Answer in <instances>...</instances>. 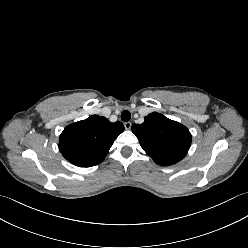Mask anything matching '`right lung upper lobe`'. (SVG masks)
<instances>
[{"mask_svg":"<svg viewBox=\"0 0 248 248\" xmlns=\"http://www.w3.org/2000/svg\"><path fill=\"white\" fill-rule=\"evenodd\" d=\"M124 131L121 122L111 123L97 115L68 125L60 135L59 149L70 163L91 167L101 163L117 136Z\"/></svg>","mask_w":248,"mask_h":248,"instance_id":"obj_1","label":"right lung upper lobe"}]
</instances>
